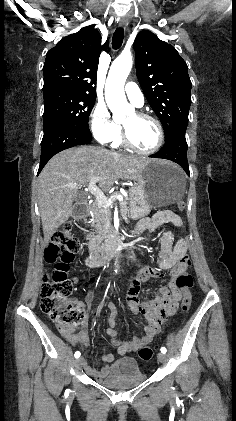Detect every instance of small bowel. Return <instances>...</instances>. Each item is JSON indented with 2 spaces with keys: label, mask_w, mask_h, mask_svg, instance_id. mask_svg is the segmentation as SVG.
Returning <instances> with one entry per match:
<instances>
[{
  "label": "small bowel",
  "mask_w": 236,
  "mask_h": 421,
  "mask_svg": "<svg viewBox=\"0 0 236 421\" xmlns=\"http://www.w3.org/2000/svg\"><path fill=\"white\" fill-rule=\"evenodd\" d=\"M171 223L174 226L182 227V219L177 214L173 213L169 210H164L156 213L152 217L144 218L139 221V223L136 226V232H143V231H149L153 232L155 231L160 225ZM171 234L167 233L164 236V252L165 256H168L169 251V242L171 240ZM186 253V247L184 243H180L176 246V248L173 251L172 259L174 262L179 261ZM139 291V286L137 284L130 290V292L127 295V301L129 303V306L132 310H137L139 308V300L137 298V294ZM95 298L94 293L88 294L86 297L85 303L84 302H77V305L80 307H84L85 305L90 306ZM108 307L110 309V316H109V325L110 329L114 330L115 324H116V316L117 312L112 303L108 304ZM157 329V328H156ZM62 335L70 342H86L87 341V332H79V333H73L71 330H61ZM153 335H149L146 338L143 339V342H148L151 340ZM107 368H104V373ZM103 373V375H104Z\"/></svg>",
  "instance_id": "c3829d8e"
}]
</instances>
